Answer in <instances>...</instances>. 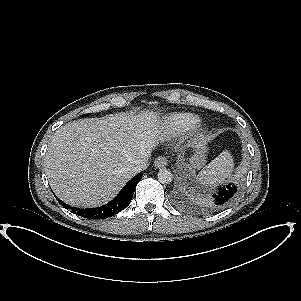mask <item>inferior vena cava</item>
Listing matches in <instances>:
<instances>
[{"label": "inferior vena cava", "mask_w": 301, "mask_h": 301, "mask_svg": "<svg viewBox=\"0 0 301 301\" xmlns=\"http://www.w3.org/2000/svg\"><path fill=\"white\" fill-rule=\"evenodd\" d=\"M148 166H149V156L144 157L143 159H140V160L136 161L132 165L131 171L134 174H136V173H139V172L145 170Z\"/></svg>", "instance_id": "602c4592"}]
</instances>
